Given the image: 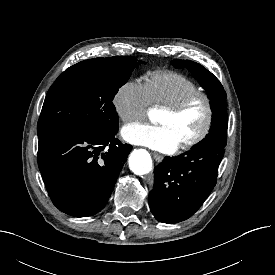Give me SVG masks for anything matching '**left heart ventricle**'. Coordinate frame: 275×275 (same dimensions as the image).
I'll list each match as a JSON object with an SVG mask.
<instances>
[{
	"label": "left heart ventricle",
	"instance_id": "1",
	"mask_svg": "<svg viewBox=\"0 0 275 275\" xmlns=\"http://www.w3.org/2000/svg\"><path fill=\"white\" fill-rule=\"evenodd\" d=\"M205 118V103L202 99H197L178 115L161 110L156 121L158 124L168 126L178 143L181 144L199 133L204 125Z\"/></svg>",
	"mask_w": 275,
	"mask_h": 275
}]
</instances>
